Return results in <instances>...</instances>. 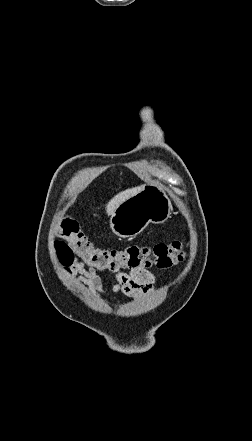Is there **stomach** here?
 Here are the masks:
<instances>
[{
  "label": "stomach",
  "instance_id": "1",
  "mask_svg": "<svg viewBox=\"0 0 252 441\" xmlns=\"http://www.w3.org/2000/svg\"><path fill=\"white\" fill-rule=\"evenodd\" d=\"M172 210L171 201L159 186H143L135 195L122 202L111 214L110 226L120 238H134L149 223L165 222Z\"/></svg>",
  "mask_w": 252,
  "mask_h": 441
}]
</instances>
